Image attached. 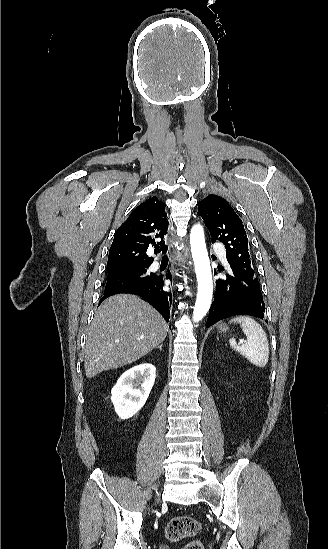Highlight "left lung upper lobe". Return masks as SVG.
I'll return each mask as SVG.
<instances>
[{
	"label": "left lung upper lobe",
	"mask_w": 328,
	"mask_h": 549,
	"mask_svg": "<svg viewBox=\"0 0 328 549\" xmlns=\"http://www.w3.org/2000/svg\"><path fill=\"white\" fill-rule=\"evenodd\" d=\"M198 215L211 235V242L225 244L229 264L254 275L248 252V239L241 219L222 197L210 194L198 203Z\"/></svg>",
	"instance_id": "5c2ea615"
}]
</instances>
